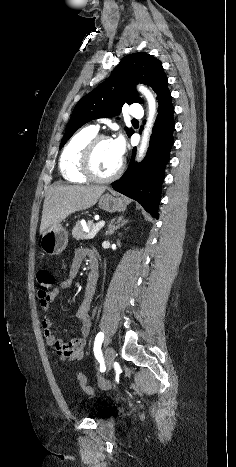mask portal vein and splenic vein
Instances as JSON below:
<instances>
[{"instance_id":"1","label":"portal vein and splenic vein","mask_w":236,"mask_h":467,"mask_svg":"<svg viewBox=\"0 0 236 467\" xmlns=\"http://www.w3.org/2000/svg\"><path fill=\"white\" fill-rule=\"evenodd\" d=\"M105 225L104 221H100L96 224V226L93 228L91 232H89V239H92Z\"/></svg>"}]
</instances>
